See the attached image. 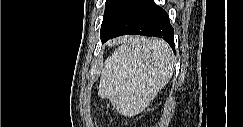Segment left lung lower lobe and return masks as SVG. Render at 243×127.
<instances>
[{"label":"left lung lower lobe","mask_w":243,"mask_h":127,"mask_svg":"<svg viewBox=\"0 0 243 127\" xmlns=\"http://www.w3.org/2000/svg\"><path fill=\"white\" fill-rule=\"evenodd\" d=\"M138 34L163 38L174 49V29L168 14L153 0H122L107 16L101 28L102 42L126 35Z\"/></svg>","instance_id":"left-lung-lower-lobe-1"}]
</instances>
